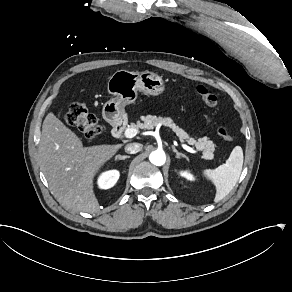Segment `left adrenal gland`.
Wrapping results in <instances>:
<instances>
[{
	"mask_svg": "<svg viewBox=\"0 0 292 292\" xmlns=\"http://www.w3.org/2000/svg\"><path fill=\"white\" fill-rule=\"evenodd\" d=\"M172 149H173V152L176 153V158L183 157L188 160V157L185 154L178 152L174 145H172Z\"/></svg>",
	"mask_w": 292,
	"mask_h": 292,
	"instance_id": "a2214340",
	"label": "left adrenal gland"
}]
</instances>
